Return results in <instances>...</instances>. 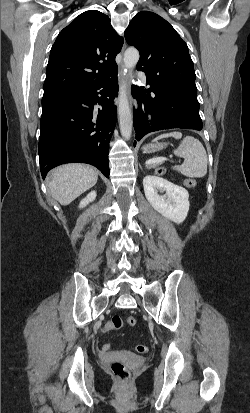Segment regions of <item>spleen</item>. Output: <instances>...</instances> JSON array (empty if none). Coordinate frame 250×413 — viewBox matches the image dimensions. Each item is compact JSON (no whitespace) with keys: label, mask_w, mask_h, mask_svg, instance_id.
Here are the masks:
<instances>
[{"label":"spleen","mask_w":250,"mask_h":413,"mask_svg":"<svg viewBox=\"0 0 250 413\" xmlns=\"http://www.w3.org/2000/svg\"><path fill=\"white\" fill-rule=\"evenodd\" d=\"M167 137L181 139L182 133L174 131L171 133L162 134L155 140ZM174 154L184 158L183 164L174 166V170L190 178H201L206 175L208 158L204 146L198 139L192 136L184 137L179 147L174 150Z\"/></svg>","instance_id":"obj_1"}]
</instances>
